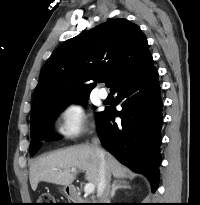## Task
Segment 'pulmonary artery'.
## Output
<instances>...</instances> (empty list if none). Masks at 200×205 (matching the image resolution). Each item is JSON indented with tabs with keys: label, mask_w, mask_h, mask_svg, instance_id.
Instances as JSON below:
<instances>
[{
	"label": "pulmonary artery",
	"mask_w": 200,
	"mask_h": 205,
	"mask_svg": "<svg viewBox=\"0 0 200 205\" xmlns=\"http://www.w3.org/2000/svg\"><path fill=\"white\" fill-rule=\"evenodd\" d=\"M98 96L101 98V99H106L108 97V92L106 89L104 88H101L99 89L98 91Z\"/></svg>",
	"instance_id": "pulmonary-artery-1"
}]
</instances>
